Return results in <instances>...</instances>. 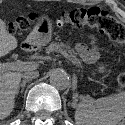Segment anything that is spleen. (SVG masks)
<instances>
[{
	"instance_id": "spleen-1",
	"label": "spleen",
	"mask_w": 125,
	"mask_h": 125,
	"mask_svg": "<svg viewBox=\"0 0 125 125\" xmlns=\"http://www.w3.org/2000/svg\"><path fill=\"white\" fill-rule=\"evenodd\" d=\"M125 117V91L96 101L82 98L75 111L76 125H116Z\"/></svg>"
}]
</instances>
